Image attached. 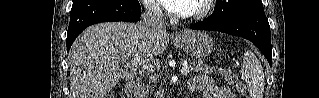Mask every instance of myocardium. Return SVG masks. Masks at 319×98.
I'll return each mask as SVG.
<instances>
[{"instance_id":"1","label":"myocardium","mask_w":319,"mask_h":98,"mask_svg":"<svg viewBox=\"0 0 319 98\" xmlns=\"http://www.w3.org/2000/svg\"><path fill=\"white\" fill-rule=\"evenodd\" d=\"M212 0H199L196 3V7L191 10L186 17L191 19H201L205 17L210 11Z\"/></svg>"}]
</instances>
